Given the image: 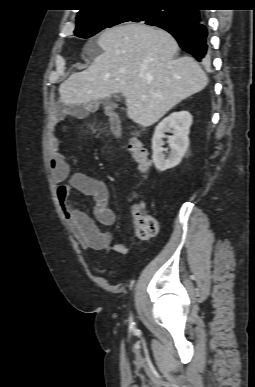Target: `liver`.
Wrapping results in <instances>:
<instances>
[{
  "label": "liver",
  "instance_id": "liver-1",
  "mask_svg": "<svg viewBox=\"0 0 255 387\" xmlns=\"http://www.w3.org/2000/svg\"><path fill=\"white\" fill-rule=\"evenodd\" d=\"M97 44L103 53L59 86L61 101L68 106L121 93L127 116L148 127L208 83L193 58L176 57L178 44L162 29L141 23L116 26L105 30Z\"/></svg>",
  "mask_w": 255,
  "mask_h": 387
}]
</instances>
